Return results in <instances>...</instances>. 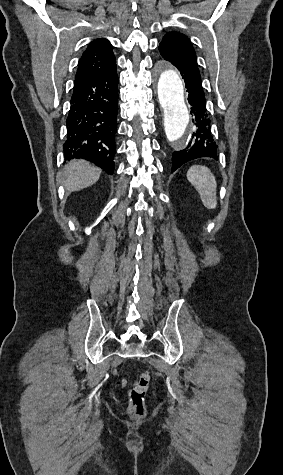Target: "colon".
<instances>
[{
    "label": "colon",
    "instance_id": "1",
    "mask_svg": "<svg viewBox=\"0 0 283 475\" xmlns=\"http://www.w3.org/2000/svg\"><path fill=\"white\" fill-rule=\"evenodd\" d=\"M151 378V372L144 371L134 383L130 384L128 409L131 415L135 418H141L145 415L146 394Z\"/></svg>",
    "mask_w": 283,
    "mask_h": 475
}]
</instances>
